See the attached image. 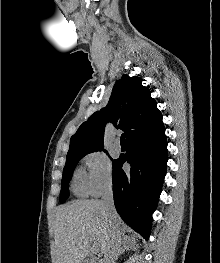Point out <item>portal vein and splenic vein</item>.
Here are the masks:
<instances>
[{"mask_svg":"<svg viewBox=\"0 0 220 263\" xmlns=\"http://www.w3.org/2000/svg\"><path fill=\"white\" fill-rule=\"evenodd\" d=\"M92 252L94 253L99 252L95 242L93 243V246H92Z\"/></svg>","mask_w":220,"mask_h":263,"instance_id":"obj_1","label":"portal vein and splenic vein"}]
</instances>
